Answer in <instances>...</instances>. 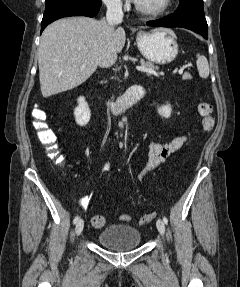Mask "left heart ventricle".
<instances>
[{
    "instance_id": "left-heart-ventricle-1",
    "label": "left heart ventricle",
    "mask_w": 240,
    "mask_h": 287,
    "mask_svg": "<svg viewBox=\"0 0 240 287\" xmlns=\"http://www.w3.org/2000/svg\"><path fill=\"white\" fill-rule=\"evenodd\" d=\"M137 2L146 8H156L161 4L162 0H137Z\"/></svg>"
}]
</instances>
